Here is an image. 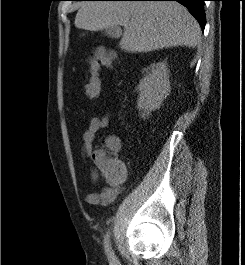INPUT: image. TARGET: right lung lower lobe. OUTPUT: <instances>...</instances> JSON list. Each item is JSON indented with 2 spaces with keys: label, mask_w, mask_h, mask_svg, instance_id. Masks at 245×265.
Wrapping results in <instances>:
<instances>
[{
  "label": "right lung lower lobe",
  "mask_w": 245,
  "mask_h": 265,
  "mask_svg": "<svg viewBox=\"0 0 245 265\" xmlns=\"http://www.w3.org/2000/svg\"><path fill=\"white\" fill-rule=\"evenodd\" d=\"M126 1H177L187 7L204 30L206 17L204 12L205 0H126Z\"/></svg>",
  "instance_id": "obj_1"
}]
</instances>
